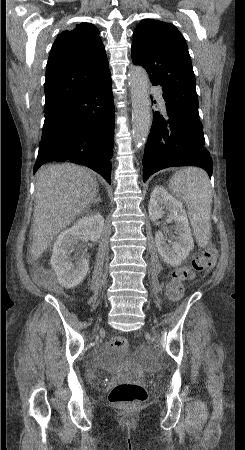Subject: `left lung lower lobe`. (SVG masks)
Here are the masks:
<instances>
[{
  "mask_svg": "<svg viewBox=\"0 0 245 450\" xmlns=\"http://www.w3.org/2000/svg\"><path fill=\"white\" fill-rule=\"evenodd\" d=\"M152 84L158 85L155 82ZM163 98L167 115L153 113L143 161V181L159 170L186 165L202 167L211 178L212 158L205 148L199 116L164 91Z\"/></svg>",
  "mask_w": 245,
  "mask_h": 450,
  "instance_id": "1",
  "label": "left lung lower lobe"
}]
</instances>
